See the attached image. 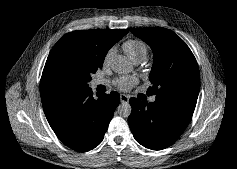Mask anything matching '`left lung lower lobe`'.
I'll use <instances>...</instances> for the list:
<instances>
[{
  "label": "left lung lower lobe",
  "instance_id": "1",
  "mask_svg": "<svg viewBox=\"0 0 237 169\" xmlns=\"http://www.w3.org/2000/svg\"><path fill=\"white\" fill-rule=\"evenodd\" d=\"M128 117L135 140L146 148L161 150L173 144L188 126L197 100L183 97H156L152 103L129 100Z\"/></svg>",
  "mask_w": 237,
  "mask_h": 169
}]
</instances>
